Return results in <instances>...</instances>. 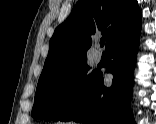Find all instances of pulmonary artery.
<instances>
[{"mask_svg":"<svg viewBox=\"0 0 156 124\" xmlns=\"http://www.w3.org/2000/svg\"><path fill=\"white\" fill-rule=\"evenodd\" d=\"M101 58H102V56H101V53H100V52L96 51V52L93 54V59H94V61H95L96 63H99V62L101 61Z\"/></svg>","mask_w":156,"mask_h":124,"instance_id":"obj_1","label":"pulmonary artery"}]
</instances>
